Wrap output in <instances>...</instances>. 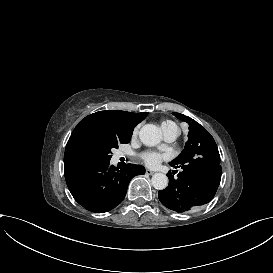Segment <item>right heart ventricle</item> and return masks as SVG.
Instances as JSON below:
<instances>
[{
    "label": "right heart ventricle",
    "instance_id": "obj_1",
    "mask_svg": "<svg viewBox=\"0 0 273 273\" xmlns=\"http://www.w3.org/2000/svg\"><path fill=\"white\" fill-rule=\"evenodd\" d=\"M169 124H172L175 127V132H177L179 134L178 127L174 123H172V122L167 121V122L162 123V128L164 126H168Z\"/></svg>",
    "mask_w": 273,
    "mask_h": 273
}]
</instances>
